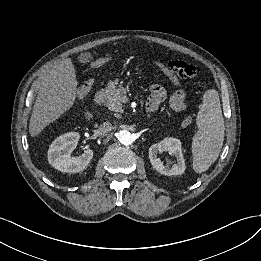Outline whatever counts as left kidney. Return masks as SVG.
<instances>
[{
	"label": "left kidney",
	"mask_w": 261,
	"mask_h": 261,
	"mask_svg": "<svg viewBox=\"0 0 261 261\" xmlns=\"http://www.w3.org/2000/svg\"><path fill=\"white\" fill-rule=\"evenodd\" d=\"M168 151L171 156L176 158V163L170 168L164 166L158 158V153ZM149 159L153 168L159 173L167 176L181 175L185 171V161L182 154L181 142L177 138L167 137L161 142L149 148Z\"/></svg>",
	"instance_id": "obj_1"
}]
</instances>
